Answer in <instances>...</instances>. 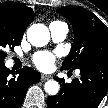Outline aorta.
<instances>
[{"label": "aorta", "mask_w": 108, "mask_h": 108, "mask_svg": "<svg viewBox=\"0 0 108 108\" xmlns=\"http://www.w3.org/2000/svg\"><path fill=\"white\" fill-rule=\"evenodd\" d=\"M27 39L33 46L42 47L49 42L50 33L45 25L33 24L27 30ZM59 88V83L55 80H48L44 85V89L49 95H56Z\"/></svg>", "instance_id": "762f6f07"}]
</instances>
